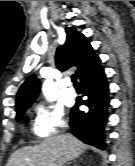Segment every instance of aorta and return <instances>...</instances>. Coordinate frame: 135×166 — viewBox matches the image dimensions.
I'll return each mask as SVG.
<instances>
[{"mask_svg": "<svg viewBox=\"0 0 135 166\" xmlns=\"http://www.w3.org/2000/svg\"><path fill=\"white\" fill-rule=\"evenodd\" d=\"M43 94L48 101H55L58 97L56 84L51 80H46L42 87Z\"/></svg>", "mask_w": 135, "mask_h": 166, "instance_id": "obj_1", "label": "aorta"}]
</instances>
